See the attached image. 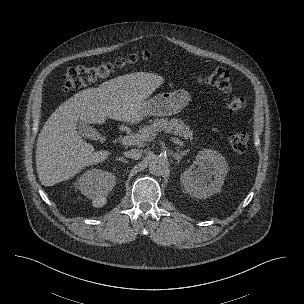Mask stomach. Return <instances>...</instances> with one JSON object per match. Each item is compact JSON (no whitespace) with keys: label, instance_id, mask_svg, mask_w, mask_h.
Listing matches in <instances>:
<instances>
[{"label":"stomach","instance_id":"obj_1","mask_svg":"<svg viewBox=\"0 0 304 304\" xmlns=\"http://www.w3.org/2000/svg\"><path fill=\"white\" fill-rule=\"evenodd\" d=\"M190 101V94L184 89L163 92L145 100L141 105L140 119L149 115L170 116L179 113Z\"/></svg>","mask_w":304,"mask_h":304}]
</instances>
